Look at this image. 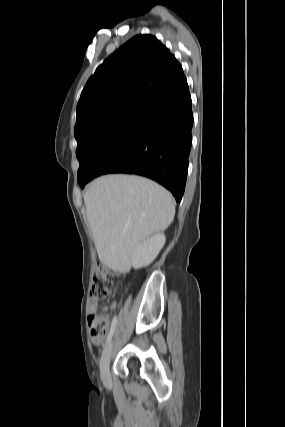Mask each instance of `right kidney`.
I'll use <instances>...</instances> for the list:
<instances>
[{
	"mask_svg": "<svg viewBox=\"0 0 285 427\" xmlns=\"http://www.w3.org/2000/svg\"><path fill=\"white\" fill-rule=\"evenodd\" d=\"M165 241V235L158 233L139 244L131 256V264L134 269L150 265L159 254Z\"/></svg>",
	"mask_w": 285,
	"mask_h": 427,
	"instance_id": "right-kidney-1",
	"label": "right kidney"
}]
</instances>
